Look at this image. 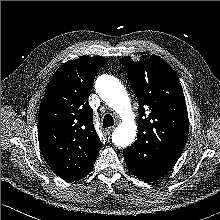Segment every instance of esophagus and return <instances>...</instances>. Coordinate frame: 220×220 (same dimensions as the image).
Segmentation results:
<instances>
[{"instance_id": "esophagus-1", "label": "esophagus", "mask_w": 220, "mask_h": 220, "mask_svg": "<svg viewBox=\"0 0 220 220\" xmlns=\"http://www.w3.org/2000/svg\"><path fill=\"white\" fill-rule=\"evenodd\" d=\"M113 130H114V127H109V128H107V129L105 130V133H106L107 135H110V134L113 132Z\"/></svg>"}]
</instances>
